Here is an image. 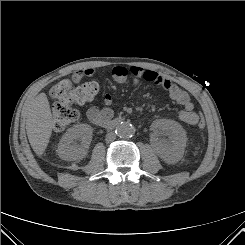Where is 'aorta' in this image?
Masks as SVG:
<instances>
[{
	"label": "aorta",
	"instance_id": "obj_1",
	"mask_svg": "<svg viewBox=\"0 0 245 245\" xmlns=\"http://www.w3.org/2000/svg\"><path fill=\"white\" fill-rule=\"evenodd\" d=\"M115 132L119 137L127 138L134 134L135 129L130 123L121 122L117 125Z\"/></svg>",
	"mask_w": 245,
	"mask_h": 245
}]
</instances>
